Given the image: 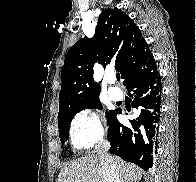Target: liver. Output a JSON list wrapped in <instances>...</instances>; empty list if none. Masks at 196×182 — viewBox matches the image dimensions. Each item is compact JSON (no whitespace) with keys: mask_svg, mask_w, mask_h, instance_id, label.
Instances as JSON below:
<instances>
[{"mask_svg":"<svg viewBox=\"0 0 196 182\" xmlns=\"http://www.w3.org/2000/svg\"><path fill=\"white\" fill-rule=\"evenodd\" d=\"M119 174L120 182H138L142 177V170L111 156ZM56 182H104L101 160L98 155H88L72 161L63 167Z\"/></svg>","mask_w":196,"mask_h":182,"instance_id":"liver-1","label":"liver"}]
</instances>
